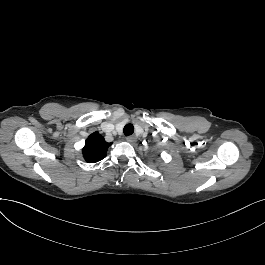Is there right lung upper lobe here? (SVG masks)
I'll list each match as a JSON object with an SVG mask.
<instances>
[{
  "mask_svg": "<svg viewBox=\"0 0 265 265\" xmlns=\"http://www.w3.org/2000/svg\"><path fill=\"white\" fill-rule=\"evenodd\" d=\"M112 143H108L98 133H92L86 140L83 148V157L89 163H95L106 157L108 147Z\"/></svg>",
  "mask_w": 265,
  "mask_h": 265,
  "instance_id": "1",
  "label": "right lung upper lobe"
}]
</instances>
